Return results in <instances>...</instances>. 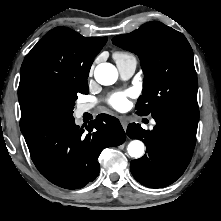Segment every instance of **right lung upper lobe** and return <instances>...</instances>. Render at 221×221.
<instances>
[{
	"label": "right lung upper lobe",
	"mask_w": 221,
	"mask_h": 221,
	"mask_svg": "<svg viewBox=\"0 0 221 221\" xmlns=\"http://www.w3.org/2000/svg\"><path fill=\"white\" fill-rule=\"evenodd\" d=\"M107 37H83L66 27L49 31L26 55L20 71L18 99L21 131L37 121V100L67 81L87 79L96 55Z\"/></svg>",
	"instance_id": "1"
}]
</instances>
